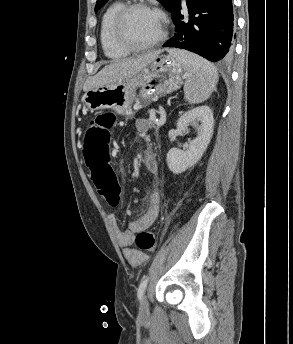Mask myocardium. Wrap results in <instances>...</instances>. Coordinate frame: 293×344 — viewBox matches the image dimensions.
Instances as JSON below:
<instances>
[{
    "label": "myocardium",
    "instance_id": "obj_1",
    "mask_svg": "<svg viewBox=\"0 0 293 344\" xmlns=\"http://www.w3.org/2000/svg\"><path fill=\"white\" fill-rule=\"evenodd\" d=\"M135 10H146L156 14L160 18L162 23V32L159 37L142 44L136 43L128 37L125 30L126 21L130 13ZM168 28V19L162 10L144 1H134L124 5L116 14L113 22V36L115 41L123 48L129 51L140 52L149 50L163 43L168 37Z\"/></svg>",
    "mask_w": 293,
    "mask_h": 344
}]
</instances>
